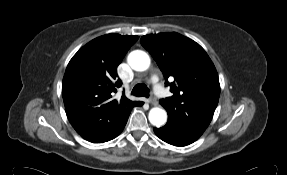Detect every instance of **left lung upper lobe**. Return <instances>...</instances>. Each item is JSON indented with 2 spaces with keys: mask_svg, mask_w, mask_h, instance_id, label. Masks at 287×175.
I'll return each mask as SVG.
<instances>
[{
  "mask_svg": "<svg viewBox=\"0 0 287 175\" xmlns=\"http://www.w3.org/2000/svg\"><path fill=\"white\" fill-rule=\"evenodd\" d=\"M141 44L157 62L173 93L160 100L168 122L199 138L210 124L220 96L213 62L199 44L175 32L145 35Z\"/></svg>",
  "mask_w": 287,
  "mask_h": 175,
  "instance_id": "obj_1",
  "label": "left lung upper lobe"
}]
</instances>
